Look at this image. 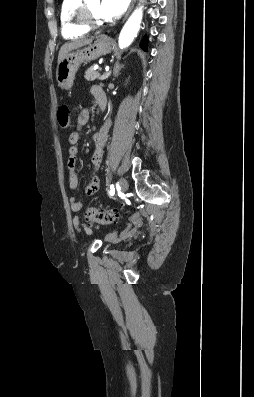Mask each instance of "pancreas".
<instances>
[{
    "label": "pancreas",
    "mask_w": 254,
    "mask_h": 397,
    "mask_svg": "<svg viewBox=\"0 0 254 397\" xmlns=\"http://www.w3.org/2000/svg\"><path fill=\"white\" fill-rule=\"evenodd\" d=\"M99 76V73L93 69V67H89L85 72V79L87 81H94Z\"/></svg>",
    "instance_id": "obj_1"
}]
</instances>
